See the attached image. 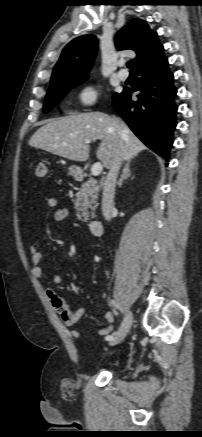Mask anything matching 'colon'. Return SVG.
<instances>
[{"mask_svg": "<svg viewBox=\"0 0 202 437\" xmlns=\"http://www.w3.org/2000/svg\"><path fill=\"white\" fill-rule=\"evenodd\" d=\"M48 174V167L46 162H39L35 168V175L39 178H45Z\"/></svg>", "mask_w": 202, "mask_h": 437, "instance_id": "1", "label": "colon"}]
</instances>
